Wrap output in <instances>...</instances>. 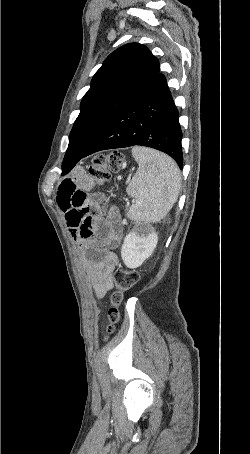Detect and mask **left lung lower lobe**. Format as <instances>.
<instances>
[{
    "label": "left lung lower lobe",
    "mask_w": 250,
    "mask_h": 454,
    "mask_svg": "<svg viewBox=\"0 0 250 454\" xmlns=\"http://www.w3.org/2000/svg\"><path fill=\"white\" fill-rule=\"evenodd\" d=\"M178 118L166 79L159 73L103 124L82 155L65 154L62 175L90 154L133 145L165 152L182 169V132Z\"/></svg>",
    "instance_id": "0a47b994"
}]
</instances>
